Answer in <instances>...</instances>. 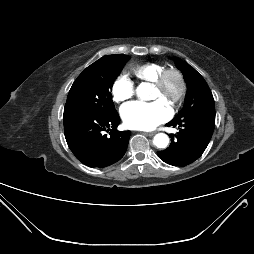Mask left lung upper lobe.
<instances>
[{
    "instance_id": "left-lung-upper-lobe-1",
    "label": "left lung upper lobe",
    "mask_w": 254,
    "mask_h": 254,
    "mask_svg": "<svg viewBox=\"0 0 254 254\" xmlns=\"http://www.w3.org/2000/svg\"><path fill=\"white\" fill-rule=\"evenodd\" d=\"M173 59L178 69L184 74V79L187 84L184 106L179 113H184L191 107L215 109L212 93L203 77L186 62H183L177 57H173Z\"/></svg>"
}]
</instances>
